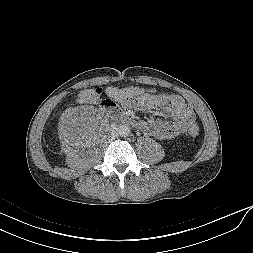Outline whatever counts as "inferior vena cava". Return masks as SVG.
<instances>
[{
	"instance_id": "inferior-vena-cava-1",
	"label": "inferior vena cava",
	"mask_w": 253,
	"mask_h": 253,
	"mask_svg": "<svg viewBox=\"0 0 253 253\" xmlns=\"http://www.w3.org/2000/svg\"><path fill=\"white\" fill-rule=\"evenodd\" d=\"M116 137V132L115 130H112V138H115Z\"/></svg>"
}]
</instances>
